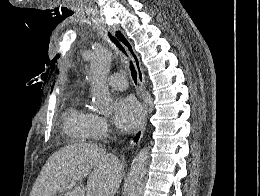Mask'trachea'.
Wrapping results in <instances>:
<instances>
[{
    "mask_svg": "<svg viewBox=\"0 0 260 196\" xmlns=\"http://www.w3.org/2000/svg\"><path fill=\"white\" fill-rule=\"evenodd\" d=\"M108 35H109L110 40L118 47V49L125 53V50L122 47V44L120 43L121 42V39H120L121 33L116 32V36H113L110 33H108ZM130 70H131V75L134 80V83L137 84V72H136L135 68L132 66V64H130Z\"/></svg>",
    "mask_w": 260,
    "mask_h": 196,
    "instance_id": "trachea-1",
    "label": "trachea"
}]
</instances>
